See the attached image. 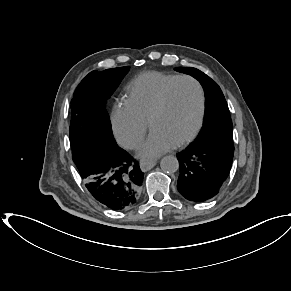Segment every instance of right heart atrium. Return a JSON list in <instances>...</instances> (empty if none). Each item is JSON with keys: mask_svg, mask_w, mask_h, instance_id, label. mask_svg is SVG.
Instances as JSON below:
<instances>
[{"mask_svg": "<svg viewBox=\"0 0 291 291\" xmlns=\"http://www.w3.org/2000/svg\"><path fill=\"white\" fill-rule=\"evenodd\" d=\"M112 127L122 146L136 149L146 135L148 123L139 118L126 102H121L113 110Z\"/></svg>", "mask_w": 291, "mask_h": 291, "instance_id": "right-heart-atrium-1", "label": "right heart atrium"}]
</instances>
